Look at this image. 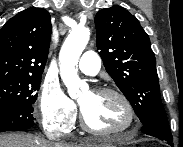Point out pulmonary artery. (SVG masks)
<instances>
[{
    "label": "pulmonary artery",
    "instance_id": "pulmonary-artery-1",
    "mask_svg": "<svg viewBox=\"0 0 183 147\" xmlns=\"http://www.w3.org/2000/svg\"><path fill=\"white\" fill-rule=\"evenodd\" d=\"M78 67L86 75L94 76L98 73L101 67V60L98 54L94 51H86L81 56Z\"/></svg>",
    "mask_w": 183,
    "mask_h": 147
}]
</instances>
